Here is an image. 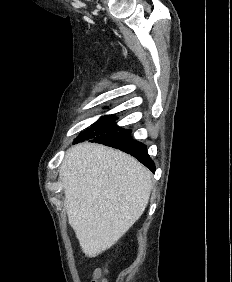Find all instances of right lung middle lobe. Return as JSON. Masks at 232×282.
Segmentation results:
<instances>
[{
    "label": "right lung middle lobe",
    "mask_w": 232,
    "mask_h": 282,
    "mask_svg": "<svg viewBox=\"0 0 232 282\" xmlns=\"http://www.w3.org/2000/svg\"><path fill=\"white\" fill-rule=\"evenodd\" d=\"M117 118L113 115H106L99 119L98 122L91 125V127L82 132L75 140L81 141L86 140L96 135L111 132L114 130H121L122 128L117 126L114 120Z\"/></svg>",
    "instance_id": "obj_1"
}]
</instances>
